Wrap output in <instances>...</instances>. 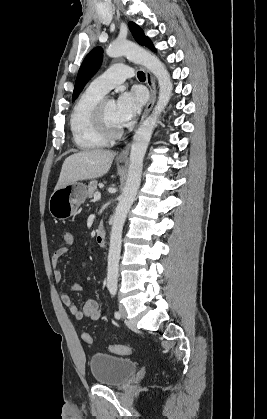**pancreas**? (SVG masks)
Listing matches in <instances>:
<instances>
[{
	"label": "pancreas",
	"mask_w": 267,
	"mask_h": 419,
	"mask_svg": "<svg viewBox=\"0 0 267 419\" xmlns=\"http://www.w3.org/2000/svg\"><path fill=\"white\" fill-rule=\"evenodd\" d=\"M97 185H98V181H96V180H92V181L89 182L88 191H87V196L89 198H92L94 196V194L96 193Z\"/></svg>",
	"instance_id": "pancreas-1"
}]
</instances>
